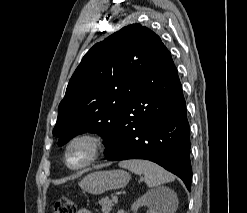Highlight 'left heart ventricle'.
Wrapping results in <instances>:
<instances>
[{
	"instance_id": "left-heart-ventricle-1",
	"label": "left heart ventricle",
	"mask_w": 247,
	"mask_h": 213,
	"mask_svg": "<svg viewBox=\"0 0 247 213\" xmlns=\"http://www.w3.org/2000/svg\"><path fill=\"white\" fill-rule=\"evenodd\" d=\"M89 148L86 144L80 143L71 148L69 152V162L72 165L82 163L88 156Z\"/></svg>"
}]
</instances>
